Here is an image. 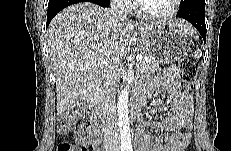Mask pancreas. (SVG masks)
I'll list each match as a JSON object with an SVG mask.
<instances>
[{
	"instance_id": "pancreas-1",
	"label": "pancreas",
	"mask_w": 231,
	"mask_h": 151,
	"mask_svg": "<svg viewBox=\"0 0 231 151\" xmlns=\"http://www.w3.org/2000/svg\"><path fill=\"white\" fill-rule=\"evenodd\" d=\"M159 69V63L152 61L147 54H144L143 59L137 63V71L141 74H150L154 73ZM111 80L107 79V83H105L100 89V102H104L111 93V89H109Z\"/></svg>"
}]
</instances>
